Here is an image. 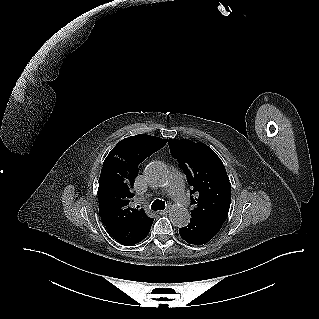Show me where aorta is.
Instances as JSON below:
<instances>
[{"instance_id":"aorta-1","label":"aorta","mask_w":319,"mask_h":319,"mask_svg":"<svg viewBox=\"0 0 319 319\" xmlns=\"http://www.w3.org/2000/svg\"><path fill=\"white\" fill-rule=\"evenodd\" d=\"M147 180L154 185H164L169 178V170L161 161H153L145 168ZM171 223L176 227H185L190 220L189 211L184 207H174L169 213Z\"/></svg>"}]
</instances>
